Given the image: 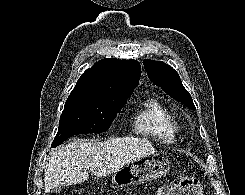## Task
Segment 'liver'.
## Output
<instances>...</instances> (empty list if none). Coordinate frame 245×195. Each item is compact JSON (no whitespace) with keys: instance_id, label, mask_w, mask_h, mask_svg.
<instances>
[{"instance_id":"obj_1","label":"liver","mask_w":245,"mask_h":195,"mask_svg":"<svg viewBox=\"0 0 245 195\" xmlns=\"http://www.w3.org/2000/svg\"><path fill=\"white\" fill-rule=\"evenodd\" d=\"M154 153L153 145L142 138H110L104 142L74 139L50 156L45 191L82 183L89 178L87 170L97 177L113 174L131 161Z\"/></svg>"}]
</instances>
